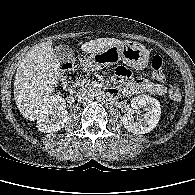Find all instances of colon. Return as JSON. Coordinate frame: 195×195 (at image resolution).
I'll list each match as a JSON object with an SVG mask.
<instances>
[{"instance_id": "obj_1", "label": "colon", "mask_w": 195, "mask_h": 195, "mask_svg": "<svg viewBox=\"0 0 195 195\" xmlns=\"http://www.w3.org/2000/svg\"><path fill=\"white\" fill-rule=\"evenodd\" d=\"M163 59L159 55H154L151 59V70L153 76L158 81L165 80V74L163 71ZM86 75V65L83 58H79L76 61L66 64L63 68L62 81L66 85H73L79 80L83 79ZM170 98L179 102L182 99V92L178 86H172L169 90Z\"/></svg>"}]
</instances>
